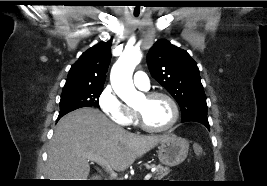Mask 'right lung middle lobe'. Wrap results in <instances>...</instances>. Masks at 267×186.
<instances>
[{
  "label": "right lung middle lobe",
  "mask_w": 267,
  "mask_h": 186,
  "mask_svg": "<svg viewBox=\"0 0 267 186\" xmlns=\"http://www.w3.org/2000/svg\"><path fill=\"white\" fill-rule=\"evenodd\" d=\"M102 91L103 88L93 87L63 88L59 115L82 107H99Z\"/></svg>",
  "instance_id": "1"
}]
</instances>
